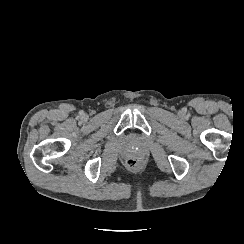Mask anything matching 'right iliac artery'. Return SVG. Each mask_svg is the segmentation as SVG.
<instances>
[{"label":"right iliac artery","instance_id":"right-iliac-artery-1","mask_svg":"<svg viewBox=\"0 0 244 244\" xmlns=\"http://www.w3.org/2000/svg\"><path fill=\"white\" fill-rule=\"evenodd\" d=\"M84 112L82 111V112H80V114L82 115Z\"/></svg>","mask_w":244,"mask_h":244}]
</instances>
